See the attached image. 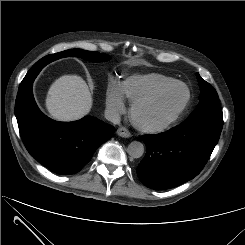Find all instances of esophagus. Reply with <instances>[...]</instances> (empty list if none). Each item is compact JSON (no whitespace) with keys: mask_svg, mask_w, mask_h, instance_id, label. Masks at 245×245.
<instances>
[{"mask_svg":"<svg viewBox=\"0 0 245 245\" xmlns=\"http://www.w3.org/2000/svg\"><path fill=\"white\" fill-rule=\"evenodd\" d=\"M116 133L123 138L131 137V133L125 127L118 128Z\"/></svg>","mask_w":245,"mask_h":245,"instance_id":"obj_1","label":"esophagus"}]
</instances>
